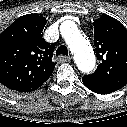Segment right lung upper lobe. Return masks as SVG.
Here are the masks:
<instances>
[{"label": "right lung upper lobe", "instance_id": "right-lung-upper-lobe-1", "mask_svg": "<svg viewBox=\"0 0 127 127\" xmlns=\"http://www.w3.org/2000/svg\"><path fill=\"white\" fill-rule=\"evenodd\" d=\"M46 22L38 14L24 15L0 34V83L7 88L30 92L52 74L55 45L43 39Z\"/></svg>", "mask_w": 127, "mask_h": 127}]
</instances>
